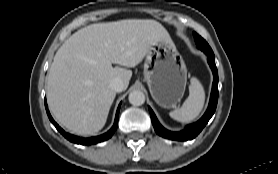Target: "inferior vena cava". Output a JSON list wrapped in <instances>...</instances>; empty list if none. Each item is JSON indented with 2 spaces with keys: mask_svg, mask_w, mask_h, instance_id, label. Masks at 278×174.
<instances>
[{
  "mask_svg": "<svg viewBox=\"0 0 278 174\" xmlns=\"http://www.w3.org/2000/svg\"><path fill=\"white\" fill-rule=\"evenodd\" d=\"M110 88L115 92H122L124 90V83L119 78H114L110 82Z\"/></svg>",
  "mask_w": 278,
  "mask_h": 174,
  "instance_id": "obj_1",
  "label": "inferior vena cava"
}]
</instances>
